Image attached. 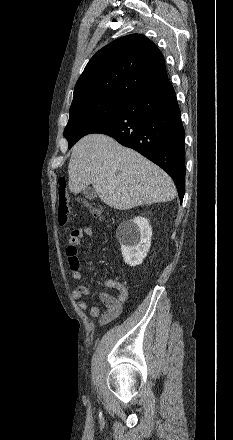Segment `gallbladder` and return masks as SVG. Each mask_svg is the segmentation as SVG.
<instances>
[{"label": "gallbladder", "mask_w": 233, "mask_h": 440, "mask_svg": "<svg viewBox=\"0 0 233 440\" xmlns=\"http://www.w3.org/2000/svg\"><path fill=\"white\" fill-rule=\"evenodd\" d=\"M83 194L85 198L92 200L97 198V193L93 187L87 186L83 189Z\"/></svg>", "instance_id": "obj_1"}]
</instances>
